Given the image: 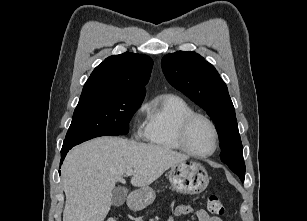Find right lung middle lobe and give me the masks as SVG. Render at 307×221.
Returning <instances> with one entry per match:
<instances>
[{
	"label": "right lung middle lobe",
	"mask_w": 307,
	"mask_h": 221,
	"mask_svg": "<svg viewBox=\"0 0 307 221\" xmlns=\"http://www.w3.org/2000/svg\"><path fill=\"white\" fill-rule=\"evenodd\" d=\"M143 99L134 95H111L79 102L61 151L95 137L127 134L129 121Z\"/></svg>",
	"instance_id": "1"
}]
</instances>
